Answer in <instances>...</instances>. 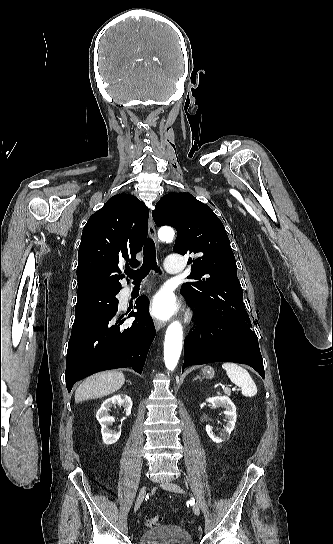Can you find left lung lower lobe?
Returning <instances> with one entry per match:
<instances>
[{
  "label": "left lung lower lobe",
  "mask_w": 333,
  "mask_h": 544,
  "mask_svg": "<svg viewBox=\"0 0 333 544\" xmlns=\"http://www.w3.org/2000/svg\"><path fill=\"white\" fill-rule=\"evenodd\" d=\"M190 304L199 314V324L184 341L182 370L190 365L227 361L247 364L264 378L263 360L255 333L235 321L216 318Z\"/></svg>",
  "instance_id": "obj_1"
}]
</instances>
